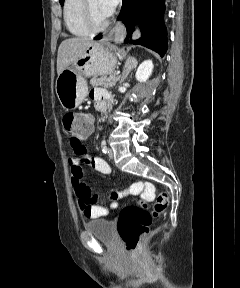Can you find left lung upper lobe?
Instances as JSON below:
<instances>
[{"label":"left lung upper lobe","instance_id":"5c2ea615","mask_svg":"<svg viewBox=\"0 0 240 288\" xmlns=\"http://www.w3.org/2000/svg\"><path fill=\"white\" fill-rule=\"evenodd\" d=\"M60 1V4L62 5L63 4V2H64V0H59Z\"/></svg>","mask_w":240,"mask_h":288}]
</instances>
